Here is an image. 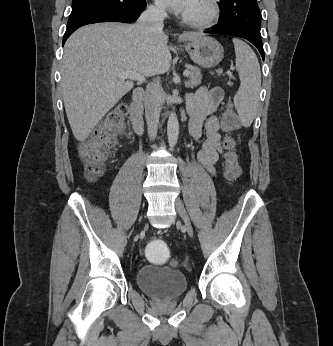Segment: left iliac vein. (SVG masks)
I'll return each mask as SVG.
<instances>
[{"label": "left iliac vein", "mask_w": 333, "mask_h": 346, "mask_svg": "<svg viewBox=\"0 0 333 346\" xmlns=\"http://www.w3.org/2000/svg\"><path fill=\"white\" fill-rule=\"evenodd\" d=\"M174 205H175V209H176L178 215L182 218V220L184 222V226H185L187 233L190 236H193V234H194L193 227H192L190 218L188 216V213L186 211V208L184 207L182 201L179 198H176Z\"/></svg>", "instance_id": "1"}]
</instances>
